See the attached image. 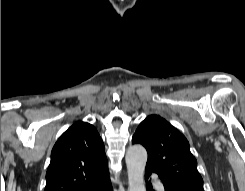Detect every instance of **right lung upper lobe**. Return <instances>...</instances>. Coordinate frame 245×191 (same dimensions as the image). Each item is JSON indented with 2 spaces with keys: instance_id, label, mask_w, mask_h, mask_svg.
Instances as JSON below:
<instances>
[{
  "instance_id": "1",
  "label": "right lung upper lobe",
  "mask_w": 245,
  "mask_h": 191,
  "mask_svg": "<svg viewBox=\"0 0 245 191\" xmlns=\"http://www.w3.org/2000/svg\"><path fill=\"white\" fill-rule=\"evenodd\" d=\"M109 177L105 148L96 128L78 121L55 143L44 191H80Z\"/></svg>"
}]
</instances>
